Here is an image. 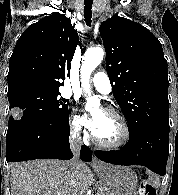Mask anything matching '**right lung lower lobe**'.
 <instances>
[{"mask_svg":"<svg viewBox=\"0 0 178 195\" xmlns=\"http://www.w3.org/2000/svg\"><path fill=\"white\" fill-rule=\"evenodd\" d=\"M6 146L7 162L41 158L69 160L73 157L69 145V116L53 119L10 118ZM80 157L83 161H91L92 152L82 146Z\"/></svg>","mask_w":178,"mask_h":195,"instance_id":"1","label":"right lung lower lobe"}]
</instances>
